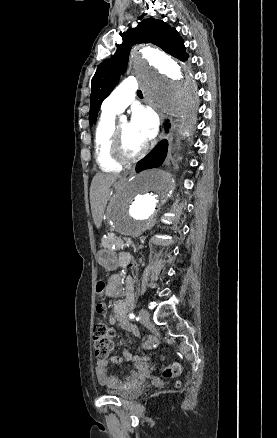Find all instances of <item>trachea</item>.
Listing matches in <instances>:
<instances>
[{
    "label": "trachea",
    "instance_id": "trachea-1",
    "mask_svg": "<svg viewBox=\"0 0 277 438\" xmlns=\"http://www.w3.org/2000/svg\"><path fill=\"white\" fill-rule=\"evenodd\" d=\"M137 94H138V95H142L141 90H138V91H137Z\"/></svg>",
    "mask_w": 277,
    "mask_h": 438
}]
</instances>
